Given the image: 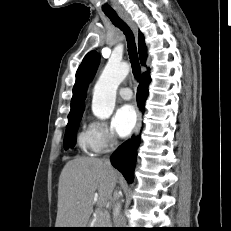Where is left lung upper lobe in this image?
<instances>
[{
	"label": "left lung upper lobe",
	"mask_w": 231,
	"mask_h": 231,
	"mask_svg": "<svg viewBox=\"0 0 231 231\" xmlns=\"http://www.w3.org/2000/svg\"><path fill=\"white\" fill-rule=\"evenodd\" d=\"M98 65H99V58H97V59L95 60V65H94V67H93V69H92V75H91V78H93V77H94V75H95V73H96V70H97Z\"/></svg>",
	"instance_id": "obj_1"
}]
</instances>
